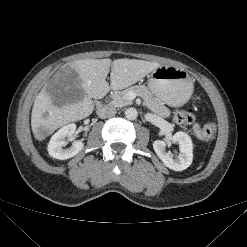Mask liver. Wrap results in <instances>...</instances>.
Instances as JSON below:
<instances>
[{
  "label": "liver",
  "mask_w": 247,
  "mask_h": 247,
  "mask_svg": "<svg viewBox=\"0 0 247 247\" xmlns=\"http://www.w3.org/2000/svg\"><path fill=\"white\" fill-rule=\"evenodd\" d=\"M159 66L156 62L127 58L114 61L109 58L83 59L67 63L63 67L78 73L82 92L77 93L73 102L55 105L46 87L42 88L35 98L31 113V127L35 137L43 139L65 124L88 117L94 110L92 98L100 99L110 89L127 88ZM110 67L109 85L106 78Z\"/></svg>",
  "instance_id": "liver-1"
}]
</instances>
